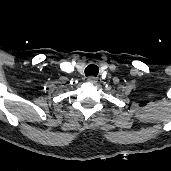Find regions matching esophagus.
<instances>
[{
  "label": "esophagus",
  "mask_w": 171,
  "mask_h": 171,
  "mask_svg": "<svg viewBox=\"0 0 171 171\" xmlns=\"http://www.w3.org/2000/svg\"><path fill=\"white\" fill-rule=\"evenodd\" d=\"M87 81L90 84H95L97 82V78L94 76H90V77H88Z\"/></svg>",
  "instance_id": "obj_1"
}]
</instances>
